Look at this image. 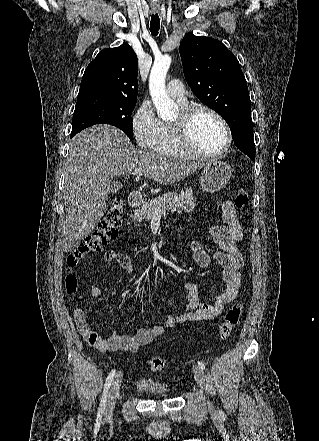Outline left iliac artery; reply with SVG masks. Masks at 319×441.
Segmentation results:
<instances>
[{
  "instance_id": "1",
  "label": "left iliac artery",
  "mask_w": 319,
  "mask_h": 441,
  "mask_svg": "<svg viewBox=\"0 0 319 441\" xmlns=\"http://www.w3.org/2000/svg\"><path fill=\"white\" fill-rule=\"evenodd\" d=\"M198 366L202 369L205 370V364L202 361H198Z\"/></svg>"
}]
</instances>
